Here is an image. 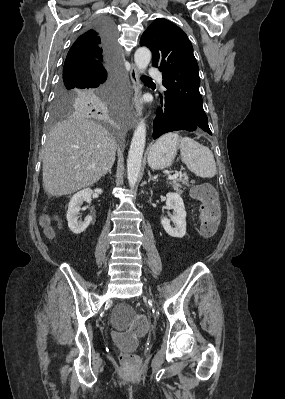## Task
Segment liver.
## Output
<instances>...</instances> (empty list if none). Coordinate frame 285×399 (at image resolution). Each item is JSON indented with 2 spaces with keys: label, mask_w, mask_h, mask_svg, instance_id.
Segmentation results:
<instances>
[{
  "label": "liver",
  "mask_w": 285,
  "mask_h": 399,
  "mask_svg": "<svg viewBox=\"0 0 285 399\" xmlns=\"http://www.w3.org/2000/svg\"><path fill=\"white\" fill-rule=\"evenodd\" d=\"M116 148L107 129L74 113L49 133L42 168L45 192L62 196L93 185L113 166Z\"/></svg>",
  "instance_id": "obj_1"
}]
</instances>
